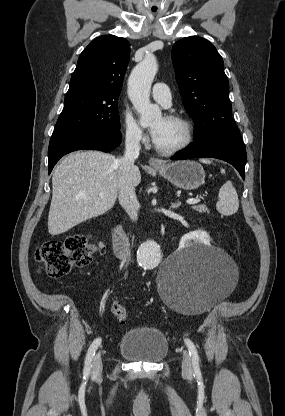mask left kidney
<instances>
[{
  "label": "left kidney",
  "instance_id": "5707ae66",
  "mask_svg": "<svg viewBox=\"0 0 285 416\" xmlns=\"http://www.w3.org/2000/svg\"><path fill=\"white\" fill-rule=\"evenodd\" d=\"M195 238L197 240H200L202 244H205V246H209L210 244V236L207 234V232H203V230H197V232H193ZM181 244H186L185 238H182Z\"/></svg>",
  "mask_w": 285,
  "mask_h": 416
}]
</instances>
